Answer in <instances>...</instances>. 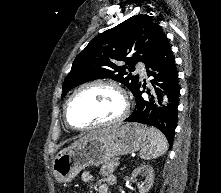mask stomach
I'll use <instances>...</instances> for the list:
<instances>
[{"label": "stomach", "instance_id": "0dacf381", "mask_svg": "<svg viewBox=\"0 0 221 193\" xmlns=\"http://www.w3.org/2000/svg\"><path fill=\"white\" fill-rule=\"evenodd\" d=\"M150 141V130L139 123H126L86 138L60 151L53 160L52 172L60 183L70 182L88 166H99L116 156L134 153Z\"/></svg>", "mask_w": 221, "mask_h": 193}]
</instances>
